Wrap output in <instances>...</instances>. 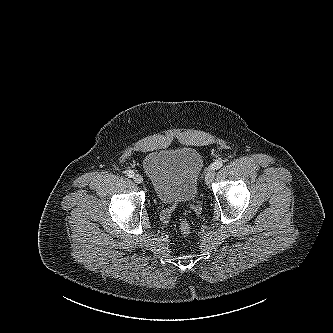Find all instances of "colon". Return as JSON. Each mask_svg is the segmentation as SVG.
<instances>
[{
  "instance_id": "obj_1",
  "label": "colon",
  "mask_w": 333,
  "mask_h": 333,
  "mask_svg": "<svg viewBox=\"0 0 333 333\" xmlns=\"http://www.w3.org/2000/svg\"><path fill=\"white\" fill-rule=\"evenodd\" d=\"M179 230L182 234L188 235L191 232V224L189 220L183 218L178 223Z\"/></svg>"
}]
</instances>
